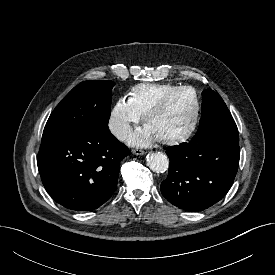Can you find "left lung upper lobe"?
<instances>
[{
  "label": "left lung upper lobe",
  "mask_w": 275,
  "mask_h": 275,
  "mask_svg": "<svg viewBox=\"0 0 275 275\" xmlns=\"http://www.w3.org/2000/svg\"><path fill=\"white\" fill-rule=\"evenodd\" d=\"M202 113L192 140H238V129L223 99L213 90L202 92Z\"/></svg>",
  "instance_id": "1"
}]
</instances>
